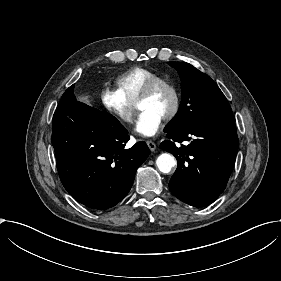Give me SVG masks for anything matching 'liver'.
Masks as SVG:
<instances>
[{"label": "liver", "instance_id": "obj_1", "mask_svg": "<svg viewBox=\"0 0 281 281\" xmlns=\"http://www.w3.org/2000/svg\"><path fill=\"white\" fill-rule=\"evenodd\" d=\"M76 99L77 101L86 104L90 107L94 106V98L92 97V95L88 92H79L76 95Z\"/></svg>", "mask_w": 281, "mask_h": 281}]
</instances>
